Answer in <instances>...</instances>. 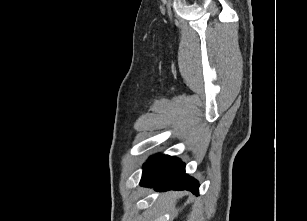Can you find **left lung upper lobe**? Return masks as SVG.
<instances>
[{
  "mask_svg": "<svg viewBox=\"0 0 307 221\" xmlns=\"http://www.w3.org/2000/svg\"><path fill=\"white\" fill-rule=\"evenodd\" d=\"M161 155H155L149 158V160L144 164V169H146L153 161L159 158Z\"/></svg>",
  "mask_w": 307,
  "mask_h": 221,
  "instance_id": "obj_1",
  "label": "left lung upper lobe"
}]
</instances>
